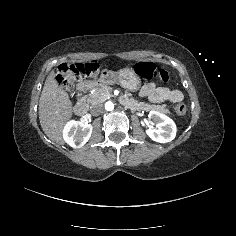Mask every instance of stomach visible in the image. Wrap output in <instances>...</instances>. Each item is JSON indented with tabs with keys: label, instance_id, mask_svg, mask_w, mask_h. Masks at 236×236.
Segmentation results:
<instances>
[{
	"label": "stomach",
	"instance_id": "1",
	"mask_svg": "<svg viewBox=\"0 0 236 236\" xmlns=\"http://www.w3.org/2000/svg\"><path fill=\"white\" fill-rule=\"evenodd\" d=\"M100 83H118L132 93H138L142 86L140 76L132 68H123L117 72H108L106 77L101 78Z\"/></svg>",
	"mask_w": 236,
	"mask_h": 236
}]
</instances>
